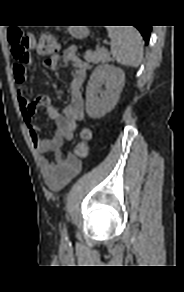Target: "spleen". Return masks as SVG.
Returning a JSON list of instances; mask_svg holds the SVG:
<instances>
[{
  "label": "spleen",
  "mask_w": 184,
  "mask_h": 292,
  "mask_svg": "<svg viewBox=\"0 0 184 292\" xmlns=\"http://www.w3.org/2000/svg\"><path fill=\"white\" fill-rule=\"evenodd\" d=\"M107 31L114 60L120 65L138 67L143 58V41L139 31L131 26L108 27Z\"/></svg>",
  "instance_id": "spleen-1"
}]
</instances>
